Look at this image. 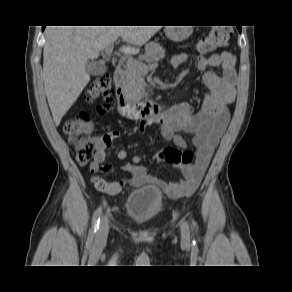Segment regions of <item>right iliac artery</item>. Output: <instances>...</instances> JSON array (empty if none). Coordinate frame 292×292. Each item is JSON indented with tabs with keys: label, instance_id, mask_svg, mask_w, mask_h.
Listing matches in <instances>:
<instances>
[{
	"label": "right iliac artery",
	"instance_id": "1",
	"mask_svg": "<svg viewBox=\"0 0 292 292\" xmlns=\"http://www.w3.org/2000/svg\"><path fill=\"white\" fill-rule=\"evenodd\" d=\"M101 215H102V207H98L93 215V219H92V227L90 229V232H89V236L90 238L92 239L98 228H99V222H100V218H101Z\"/></svg>",
	"mask_w": 292,
	"mask_h": 292
}]
</instances>
